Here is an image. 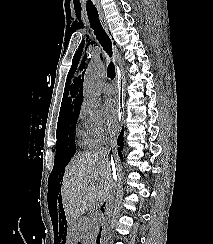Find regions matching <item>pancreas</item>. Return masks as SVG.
<instances>
[{
  "label": "pancreas",
  "mask_w": 213,
  "mask_h": 244,
  "mask_svg": "<svg viewBox=\"0 0 213 244\" xmlns=\"http://www.w3.org/2000/svg\"><path fill=\"white\" fill-rule=\"evenodd\" d=\"M86 223H88V222H86ZM97 232H98V227H97V221H95V220H92L89 224H84V226L82 228L83 236L87 240L94 239Z\"/></svg>",
  "instance_id": "1"
}]
</instances>
